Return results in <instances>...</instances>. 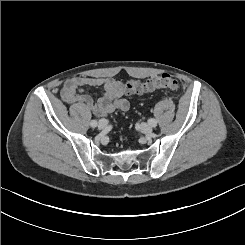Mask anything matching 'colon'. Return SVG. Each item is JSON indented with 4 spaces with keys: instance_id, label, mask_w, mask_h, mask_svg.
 <instances>
[{
    "instance_id": "obj_1",
    "label": "colon",
    "mask_w": 245,
    "mask_h": 245,
    "mask_svg": "<svg viewBox=\"0 0 245 245\" xmlns=\"http://www.w3.org/2000/svg\"><path fill=\"white\" fill-rule=\"evenodd\" d=\"M178 81L170 74H160L147 80H129L125 84L128 94H143L159 89L176 90Z\"/></svg>"
}]
</instances>
